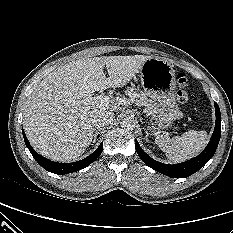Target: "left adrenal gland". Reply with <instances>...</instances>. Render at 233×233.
<instances>
[{
  "label": "left adrenal gland",
  "instance_id": "obj_1",
  "mask_svg": "<svg viewBox=\"0 0 233 233\" xmlns=\"http://www.w3.org/2000/svg\"><path fill=\"white\" fill-rule=\"evenodd\" d=\"M148 135H149V134H148V131H146V136H145L146 140H148V138H147Z\"/></svg>",
  "mask_w": 233,
  "mask_h": 233
}]
</instances>
